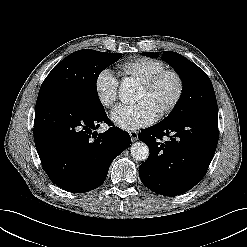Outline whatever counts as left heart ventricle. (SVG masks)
I'll return each mask as SVG.
<instances>
[{
	"mask_svg": "<svg viewBox=\"0 0 247 247\" xmlns=\"http://www.w3.org/2000/svg\"><path fill=\"white\" fill-rule=\"evenodd\" d=\"M176 91V79L171 75H166L150 89H144L140 85L135 96V102L145 100L159 113L171 102Z\"/></svg>",
	"mask_w": 247,
	"mask_h": 247,
	"instance_id": "b2bd125f",
	"label": "left heart ventricle"
}]
</instances>
